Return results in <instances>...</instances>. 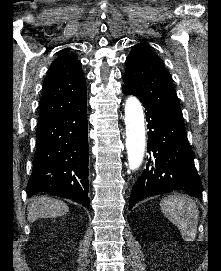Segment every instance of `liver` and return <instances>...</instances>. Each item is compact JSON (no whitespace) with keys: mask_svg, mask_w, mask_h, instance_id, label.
Returning <instances> with one entry per match:
<instances>
[{"mask_svg":"<svg viewBox=\"0 0 221 271\" xmlns=\"http://www.w3.org/2000/svg\"><path fill=\"white\" fill-rule=\"evenodd\" d=\"M67 211H69V207L61 199L39 195V197H33L28 203L27 219L35 221L38 217H57V215H64Z\"/></svg>","mask_w":221,"mask_h":271,"instance_id":"obj_1","label":"liver"}]
</instances>
